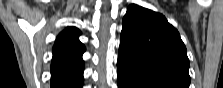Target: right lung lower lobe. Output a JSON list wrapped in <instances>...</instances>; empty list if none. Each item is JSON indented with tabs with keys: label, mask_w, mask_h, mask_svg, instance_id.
I'll list each match as a JSON object with an SVG mask.
<instances>
[{
	"label": "right lung lower lobe",
	"mask_w": 223,
	"mask_h": 88,
	"mask_svg": "<svg viewBox=\"0 0 223 88\" xmlns=\"http://www.w3.org/2000/svg\"><path fill=\"white\" fill-rule=\"evenodd\" d=\"M83 84V80L77 83H73V84H68L66 87L67 88H81ZM51 86H53L54 88H62L63 87V81H59V82H54V80H51Z\"/></svg>",
	"instance_id": "right-lung-lower-lobe-1"
}]
</instances>
